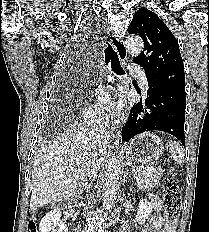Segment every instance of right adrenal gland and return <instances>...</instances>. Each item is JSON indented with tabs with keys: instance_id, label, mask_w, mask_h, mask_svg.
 Returning <instances> with one entry per match:
<instances>
[{
	"instance_id": "1",
	"label": "right adrenal gland",
	"mask_w": 209,
	"mask_h": 232,
	"mask_svg": "<svg viewBox=\"0 0 209 232\" xmlns=\"http://www.w3.org/2000/svg\"><path fill=\"white\" fill-rule=\"evenodd\" d=\"M89 188H90V184H89L88 182H86V183L82 186L81 192H83V190H89Z\"/></svg>"
}]
</instances>
